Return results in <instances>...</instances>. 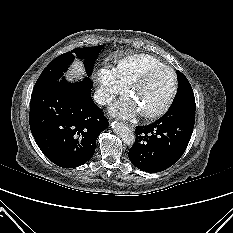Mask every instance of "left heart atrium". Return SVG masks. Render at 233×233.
Instances as JSON below:
<instances>
[{
  "instance_id": "1",
  "label": "left heart atrium",
  "mask_w": 233,
  "mask_h": 233,
  "mask_svg": "<svg viewBox=\"0 0 233 233\" xmlns=\"http://www.w3.org/2000/svg\"><path fill=\"white\" fill-rule=\"evenodd\" d=\"M114 114L130 118L139 112L138 105L132 97L123 98L118 101L112 108Z\"/></svg>"
}]
</instances>
